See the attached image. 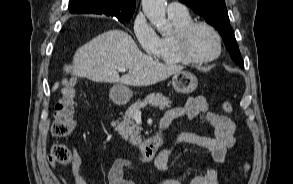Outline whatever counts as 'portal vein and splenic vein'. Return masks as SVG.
<instances>
[{
	"label": "portal vein and splenic vein",
	"mask_w": 293,
	"mask_h": 184,
	"mask_svg": "<svg viewBox=\"0 0 293 184\" xmlns=\"http://www.w3.org/2000/svg\"><path fill=\"white\" fill-rule=\"evenodd\" d=\"M118 71H120V72H126V68H124V67H118ZM139 114H140V112H138Z\"/></svg>",
	"instance_id": "obj_1"
}]
</instances>
